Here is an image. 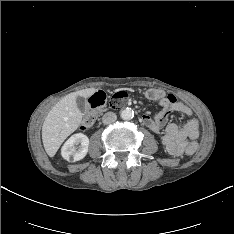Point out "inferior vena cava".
I'll use <instances>...</instances> for the list:
<instances>
[{"label":"inferior vena cava","instance_id":"602c4592","mask_svg":"<svg viewBox=\"0 0 234 234\" xmlns=\"http://www.w3.org/2000/svg\"><path fill=\"white\" fill-rule=\"evenodd\" d=\"M116 119H117V116H116L115 113H113V112H107V113H105V114L103 115V117H102V122H103L104 124H110V123L115 122Z\"/></svg>","mask_w":234,"mask_h":234}]
</instances>
